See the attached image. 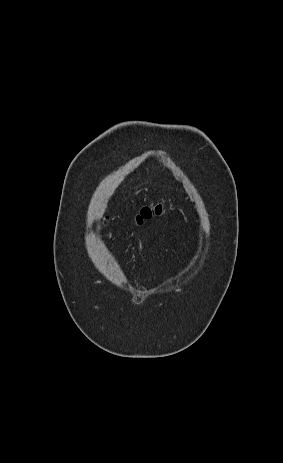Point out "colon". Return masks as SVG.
Segmentation results:
<instances>
[{
  "mask_svg": "<svg viewBox=\"0 0 283 463\" xmlns=\"http://www.w3.org/2000/svg\"><path fill=\"white\" fill-rule=\"evenodd\" d=\"M160 213H161L160 206H155V207L145 206L141 209L140 214L138 215V221L141 222L145 219H149L153 215H158Z\"/></svg>",
  "mask_w": 283,
  "mask_h": 463,
  "instance_id": "obj_1",
  "label": "colon"
}]
</instances>
